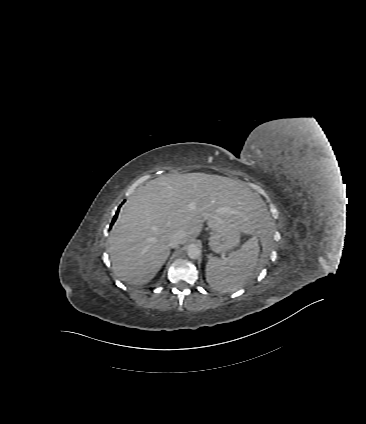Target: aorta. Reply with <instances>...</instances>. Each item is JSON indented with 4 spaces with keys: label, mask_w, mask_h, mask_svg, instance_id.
<instances>
[{
    "label": "aorta",
    "mask_w": 366,
    "mask_h": 424,
    "mask_svg": "<svg viewBox=\"0 0 366 424\" xmlns=\"http://www.w3.org/2000/svg\"><path fill=\"white\" fill-rule=\"evenodd\" d=\"M187 255L191 259H198L201 255V250L196 245L192 244L187 249Z\"/></svg>",
    "instance_id": "aorta-1"
}]
</instances>
